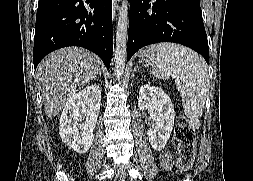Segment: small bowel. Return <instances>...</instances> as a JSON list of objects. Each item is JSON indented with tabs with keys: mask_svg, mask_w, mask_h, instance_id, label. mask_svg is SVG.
<instances>
[{
	"mask_svg": "<svg viewBox=\"0 0 253 181\" xmlns=\"http://www.w3.org/2000/svg\"><path fill=\"white\" fill-rule=\"evenodd\" d=\"M160 165L163 169L168 170L172 166V157L169 151L165 150L159 157Z\"/></svg>",
	"mask_w": 253,
	"mask_h": 181,
	"instance_id": "c3829d8e",
	"label": "small bowel"
}]
</instances>
